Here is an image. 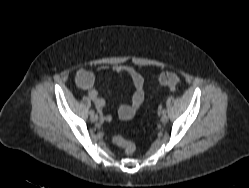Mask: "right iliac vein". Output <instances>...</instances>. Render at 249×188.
Listing matches in <instances>:
<instances>
[{"mask_svg": "<svg viewBox=\"0 0 249 188\" xmlns=\"http://www.w3.org/2000/svg\"><path fill=\"white\" fill-rule=\"evenodd\" d=\"M90 120L92 122H96L98 120V116L96 114H93V115L90 116Z\"/></svg>", "mask_w": 249, "mask_h": 188, "instance_id": "1", "label": "right iliac vein"}]
</instances>
